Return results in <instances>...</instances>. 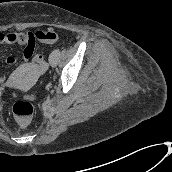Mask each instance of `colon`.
I'll list each match as a JSON object with an SVG mask.
<instances>
[{
  "label": "colon",
  "mask_w": 172,
  "mask_h": 172,
  "mask_svg": "<svg viewBox=\"0 0 172 172\" xmlns=\"http://www.w3.org/2000/svg\"><path fill=\"white\" fill-rule=\"evenodd\" d=\"M58 37L59 35L57 32L53 30H47L43 37V41L47 43H52L55 42ZM34 62H36L42 68H44L45 66L42 55H36ZM32 99L33 97L21 99L13 105L12 110L14 116L21 127L28 126L29 121L34 113V106L31 102Z\"/></svg>",
  "instance_id": "1"
}]
</instances>
